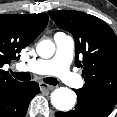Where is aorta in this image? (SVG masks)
Segmentation results:
<instances>
[{"instance_id":"obj_1","label":"aorta","mask_w":117,"mask_h":117,"mask_svg":"<svg viewBox=\"0 0 117 117\" xmlns=\"http://www.w3.org/2000/svg\"><path fill=\"white\" fill-rule=\"evenodd\" d=\"M37 54L41 58H50L55 52V45L52 41L46 39L38 43L36 47ZM77 96L75 92L67 87H60L51 94V103L59 111H69L76 104Z\"/></svg>"}]
</instances>
